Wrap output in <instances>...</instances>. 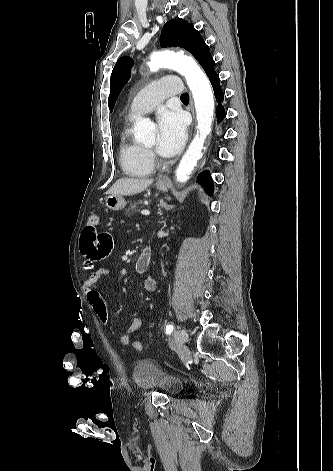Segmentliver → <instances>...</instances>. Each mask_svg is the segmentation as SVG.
<instances>
[{
  "instance_id": "obj_1",
  "label": "liver",
  "mask_w": 333,
  "mask_h": 471,
  "mask_svg": "<svg viewBox=\"0 0 333 471\" xmlns=\"http://www.w3.org/2000/svg\"><path fill=\"white\" fill-rule=\"evenodd\" d=\"M153 182V179H118L107 191V194L134 195L144 191Z\"/></svg>"
}]
</instances>
